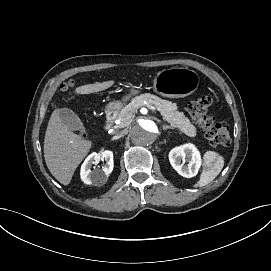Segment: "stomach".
Here are the masks:
<instances>
[{"instance_id": "0dacf381", "label": "stomach", "mask_w": 271, "mask_h": 271, "mask_svg": "<svg viewBox=\"0 0 271 271\" xmlns=\"http://www.w3.org/2000/svg\"><path fill=\"white\" fill-rule=\"evenodd\" d=\"M199 75L188 68L172 67L159 71L153 80V90L155 93L169 98H181L192 94L199 85ZM136 88L131 89L130 95L124 100H128L132 95L138 94ZM119 109L108 106V110Z\"/></svg>"}]
</instances>
